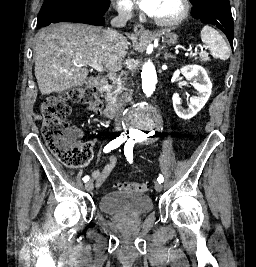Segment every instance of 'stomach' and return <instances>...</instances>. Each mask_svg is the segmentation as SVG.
Returning a JSON list of instances; mask_svg holds the SVG:
<instances>
[{"mask_svg":"<svg viewBox=\"0 0 256 267\" xmlns=\"http://www.w3.org/2000/svg\"><path fill=\"white\" fill-rule=\"evenodd\" d=\"M162 40L165 44H177L178 36L177 34H173V32H169V30H163Z\"/></svg>","mask_w":256,"mask_h":267,"instance_id":"obj_1","label":"stomach"}]
</instances>
